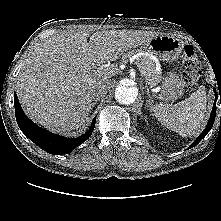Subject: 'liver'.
<instances>
[{
	"instance_id": "obj_1",
	"label": "liver",
	"mask_w": 221,
	"mask_h": 221,
	"mask_svg": "<svg viewBox=\"0 0 221 221\" xmlns=\"http://www.w3.org/2000/svg\"><path fill=\"white\" fill-rule=\"evenodd\" d=\"M156 33L141 30H69L47 39L25 60L17 95L26 115L52 132L81 127L92 109L94 91L107 89L119 73L112 61L148 43ZM89 38V40H88Z\"/></svg>"
}]
</instances>
